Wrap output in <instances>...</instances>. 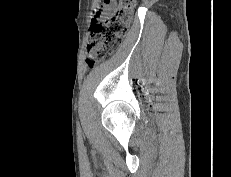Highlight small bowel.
Here are the masks:
<instances>
[{"mask_svg":"<svg viewBox=\"0 0 231 177\" xmlns=\"http://www.w3.org/2000/svg\"><path fill=\"white\" fill-rule=\"evenodd\" d=\"M106 6H109L110 4H105Z\"/></svg>","mask_w":231,"mask_h":177,"instance_id":"small-bowel-1","label":"small bowel"}]
</instances>
